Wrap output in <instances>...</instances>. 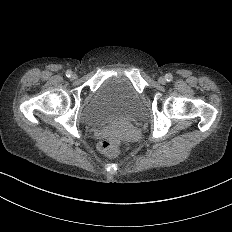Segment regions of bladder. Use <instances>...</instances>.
<instances>
[{
	"label": "bladder",
	"instance_id": "obj_1",
	"mask_svg": "<svg viewBox=\"0 0 232 232\" xmlns=\"http://www.w3.org/2000/svg\"><path fill=\"white\" fill-rule=\"evenodd\" d=\"M145 105L131 81L123 75L106 77L80 112L81 122L98 127L114 120H140Z\"/></svg>",
	"mask_w": 232,
	"mask_h": 232
}]
</instances>
